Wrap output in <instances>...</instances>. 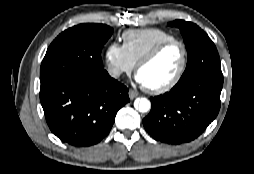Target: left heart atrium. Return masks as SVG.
<instances>
[{"label":"left heart atrium","mask_w":254,"mask_h":174,"mask_svg":"<svg viewBox=\"0 0 254 174\" xmlns=\"http://www.w3.org/2000/svg\"><path fill=\"white\" fill-rule=\"evenodd\" d=\"M135 80H136V82L139 83L140 85L145 86V83H144L142 77H141L138 73H137V75L135 76Z\"/></svg>","instance_id":"39dd6f15"}]
</instances>
